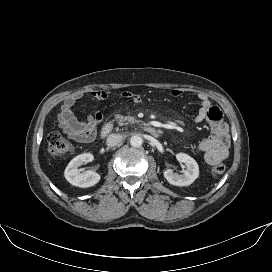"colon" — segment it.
Here are the masks:
<instances>
[{
	"mask_svg": "<svg viewBox=\"0 0 272 272\" xmlns=\"http://www.w3.org/2000/svg\"><path fill=\"white\" fill-rule=\"evenodd\" d=\"M47 140L51 155L58 160L66 158L73 151L72 145L59 132H52ZM225 169V165L217 164L212 167L211 172L214 176H219Z\"/></svg>",
	"mask_w": 272,
	"mask_h": 272,
	"instance_id": "5ec220e1",
	"label": "colon"
}]
</instances>
